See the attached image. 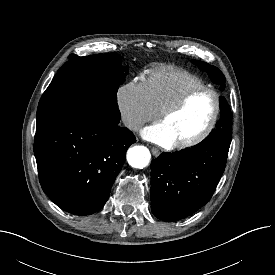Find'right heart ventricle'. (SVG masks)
I'll return each mask as SVG.
<instances>
[{"mask_svg": "<svg viewBox=\"0 0 275 275\" xmlns=\"http://www.w3.org/2000/svg\"><path fill=\"white\" fill-rule=\"evenodd\" d=\"M143 85L154 110L160 112L186 91L204 86L199 76L186 70L165 67L153 69L144 78Z\"/></svg>", "mask_w": 275, "mask_h": 275, "instance_id": "obj_1", "label": "right heart ventricle"}]
</instances>
